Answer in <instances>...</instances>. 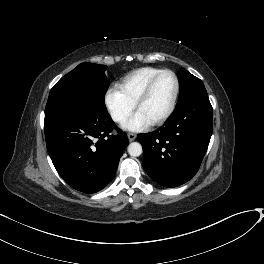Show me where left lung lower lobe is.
I'll list each match as a JSON object with an SVG mask.
<instances>
[{
	"label": "left lung lower lobe",
	"mask_w": 264,
	"mask_h": 264,
	"mask_svg": "<svg viewBox=\"0 0 264 264\" xmlns=\"http://www.w3.org/2000/svg\"><path fill=\"white\" fill-rule=\"evenodd\" d=\"M212 106L207 96L187 100L175 108L157 131L139 134L143 167L164 187H177L199 170L212 135Z\"/></svg>",
	"instance_id": "left-lung-lower-lobe-1"
}]
</instances>
